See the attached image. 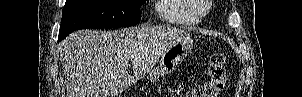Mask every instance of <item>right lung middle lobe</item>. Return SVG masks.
I'll return each mask as SVG.
<instances>
[{
  "label": "right lung middle lobe",
  "instance_id": "obj_1",
  "mask_svg": "<svg viewBox=\"0 0 302 97\" xmlns=\"http://www.w3.org/2000/svg\"><path fill=\"white\" fill-rule=\"evenodd\" d=\"M146 0H66L59 36L83 28H119L140 22V7Z\"/></svg>",
  "mask_w": 302,
  "mask_h": 97
}]
</instances>
